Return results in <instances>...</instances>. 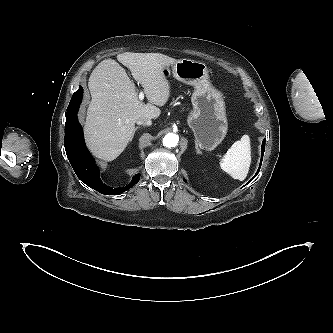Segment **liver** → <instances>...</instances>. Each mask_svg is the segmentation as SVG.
Returning a JSON list of instances; mask_svg holds the SVG:
<instances>
[{
	"mask_svg": "<svg viewBox=\"0 0 333 333\" xmlns=\"http://www.w3.org/2000/svg\"><path fill=\"white\" fill-rule=\"evenodd\" d=\"M117 60L130 69L150 103L143 104L138 99L134 83L115 60L105 59L92 71L85 137L93 155L105 161L114 160L124 151L139 118L160 116L157 106H163L170 96V85L162 68L178 61L160 53L132 52L118 54Z\"/></svg>",
	"mask_w": 333,
	"mask_h": 333,
	"instance_id": "1",
	"label": "liver"
}]
</instances>
